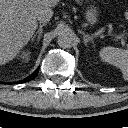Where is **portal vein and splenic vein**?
<instances>
[{"label": "portal vein and splenic vein", "instance_id": "1", "mask_svg": "<svg viewBox=\"0 0 128 128\" xmlns=\"http://www.w3.org/2000/svg\"><path fill=\"white\" fill-rule=\"evenodd\" d=\"M118 38L121 40L122 45H125V37L123 35H119Z\"/></svg>", "mask_w": 128, "mask_h": 128}]
</instances>
